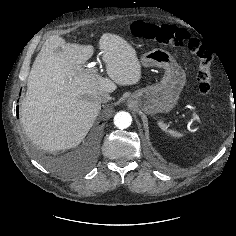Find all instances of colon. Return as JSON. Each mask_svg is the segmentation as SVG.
Listing matches in <instances>:
<instances>
[{
	"instance_id": "obj_1",
	"label": "colon",
	"mask_w": 236,
	"mask_h": 236,
	"mask_svg": "<svg viewBox=\"0 0 236 236\" xmlns=\"http://www.w3.org/2000/svg\"><path fill=\"white\" fill-rule=\"evenodd\" d=\"M131 30L135 36L153 42L173 47L186 46L200 59L197 73L199 91L205 95L211 93L213 86L210 67L213 53L205 42L192 36L185 29L173 25H158L144 21H135L131 26Z\"/></svg>"
}]
</instances>
